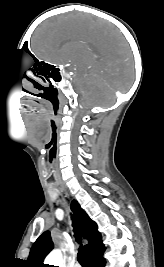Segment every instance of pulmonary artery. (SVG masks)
Returning a JSON list of instances; mask_svg holds the SVG:
<instances>
[{
	"label": "pulmonary artery",
	"instance_id": "pulmonary-artery-1",
	"mask_svg": "<svg viewBox=\"0 0 164 267\" xmlns=\"http://www.w3.org/2000/svg\"><path fill=\"white\" fill-rule=\"evenodd\" d=\"M73 267H80V265L79 264H75Z\"/></svg>",
	"mask_w": 164,
	"mask_h": 267
}]
</instances>
